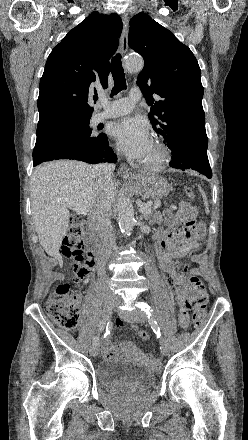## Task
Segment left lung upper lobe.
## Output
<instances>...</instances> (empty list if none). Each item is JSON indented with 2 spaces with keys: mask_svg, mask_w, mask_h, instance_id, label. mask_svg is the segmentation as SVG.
I'll return each instance as SVG.
<instances>
[{
  "mask_svg": "<svg viewBox=\"0 0 248 440\" xmlns=\"http://www.w3.org/2000/svg\"><path fill=\"white\" fill-rule=\"evenodd\" d=\"M129 24V46L144 58L137 85L151 105L153 129L171 150L181 146L207 150L204 88L192 51L145 13L135 15ZM153 93L159 96L157 101Z\"/></svg>",
  "mask_w": 248,
  "mask_h": 440,
  "instance_id": "1",
  "label": "left lung upper lobe"
}]
</instances>
